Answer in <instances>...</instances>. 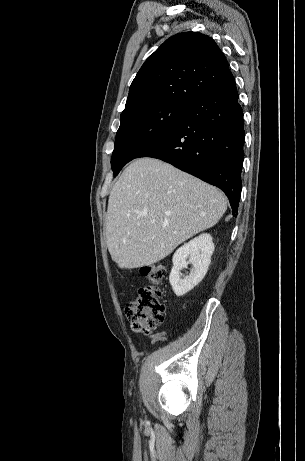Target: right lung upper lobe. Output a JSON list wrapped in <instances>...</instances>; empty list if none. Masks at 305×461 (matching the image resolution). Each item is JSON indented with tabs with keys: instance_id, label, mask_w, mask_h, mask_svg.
I'll list each match as a JSON object with an SVG mask.
<instances>
[{
	"instance_id": "obj_1",
	"label": "right lung upper lobe",
	"mask_w": 305,
	"mask_h": 461,
	"mask_svg": "<svg viewBox=\"0 0 305 461\" xmlns=\"http://www.w3.org/2000/svg\"><path fill=\"white\" fill-rule=\"evenodd\" d=\"M232 78L226 57L212 38L198 32L176 34L142 65L121 117L163 102L190 104Z\"/></svg>"
}]
</instances>
